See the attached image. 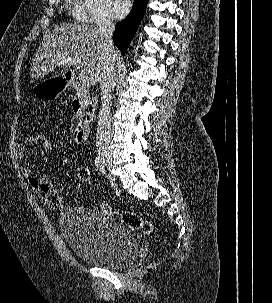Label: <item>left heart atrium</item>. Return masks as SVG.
Listing matches in <instances>:
<instances>
[{
	"label": "left heart atrium",
	"instance_id": "left-heart-atrium-1",
	"mask_svg": "<svg viewBox=\"0 0 272 303\" xmlns=\"http://www.w3.org/2000/svg\"><path fill=\"white\" fill-rule=\"evenodd\" d=\"M110 10L116 18H123L130 10L129 0H109Z\"/></svg>",
	"mask_w": 272,
	"mask_h": 303
}]
</instances>
